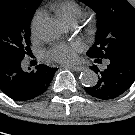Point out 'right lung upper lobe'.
<instances>
[{"label":"right lung upper lobe","mask_w":135,"mask_h":135,"mask_svg":"<svg viewBox=\"0 0 135 135\" xmlns=\"http://www.w3.org/2000/svg\"><path fill=\"white\" fill-rule=\"evenodd\" d=\"M33 1L41 3L42 0H33Z\"/></svg>","instance_id":"cb5924a9"}]
</instances>
